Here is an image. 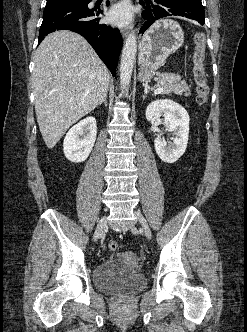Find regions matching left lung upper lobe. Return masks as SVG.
Here are the masks:
<instances>
[{
  "instance_id": "obj_1",
  "label": "left lung upper lobe",
  "mask_w": 247,
  "mask_h": 332,
  "mask_svg": "<svg viewBox=\"0 0 247 332\" xmlns=\"http://www.w3.org/2000/svg\"><path fill=\"white\" fill-rule=\"evenodd\" d=\"M154 1H167V0H154ZM188 1H194V2H201V0H188Z\"/></svg>"
}]
</instances>
